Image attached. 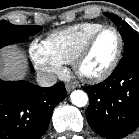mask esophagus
<instances>
[{"instance_id":"34e87169","label":"esophagus","mask_w":139,"mask_h":139,"mask_svg":"<svg viewBox=\"0 0 139 139\" xmlns=\"http://www.w3.org/2000/svg\"><path fill=\"white\" fill-rule=\"evenodd\" d=\"M76 86L77 85L75 83L66 84V90H67V92L72 91L74 88H76Z\"/></svg>"}]
</instances>
